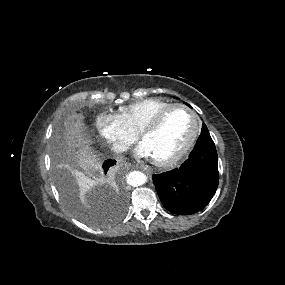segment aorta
<instances>
[{
  "mask_svg": "<svg viewBox=\"0 0 285 285\" xmlns=\"http://www.w3.org/2000/svg\"><path fill=\"white\" fill-rule=\"evenodd\" d=\"M146 180V175L139 171L130 172L127 176V183L133 187L143 185Z\"/></svg>",
  "mask_w": 285,
  "mask_h": 285,
  "instance_id": "aorta-1",
  "label": "aorta"
}]
</instances>
